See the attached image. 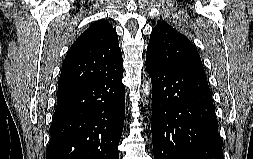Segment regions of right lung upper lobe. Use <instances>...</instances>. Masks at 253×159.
<instances>
[{
  "mask_svg": "<svg viewBox=\"0 0 253 159\" xmlns=\"http://www.w3.org/2000/svg\"><path fill=\"white\" fill-rule=\"evenodd\" d=\"M123 70L118 36L106 20L94 22L69 49L58 83L57 103Z\"/></svg>",
  "mask_w": 253,
  "mask_h": 159,
  "instance_id": "1",
  "label": "right lung upper lobe"
}]
</instances>
